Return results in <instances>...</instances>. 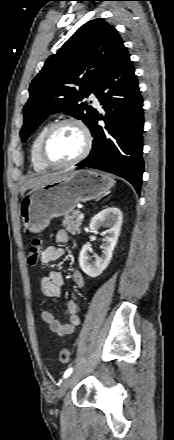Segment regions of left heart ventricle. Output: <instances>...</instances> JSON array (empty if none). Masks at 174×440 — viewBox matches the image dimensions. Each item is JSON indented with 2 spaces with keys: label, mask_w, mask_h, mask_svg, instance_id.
I'll use <instances>...</instances> for the list:
<instances>
[{
  "label": "left heart ventricle",
  "mask_w": 174,
  "mask_h": 440,
  "mask_svg": "<svg viewBox=\"0 0 174 440\" xmlns=\"http://www.w3.org/2000/svg\"><path fill=\"white\" fill-rule=\"evenodd\" d=\"M83 144L84 137L80 129L73 124H65L51 136L47 156L55 163L67 162L81 152Z\"/></svg>",
  "instance_id": "1"
}]
</instances>
